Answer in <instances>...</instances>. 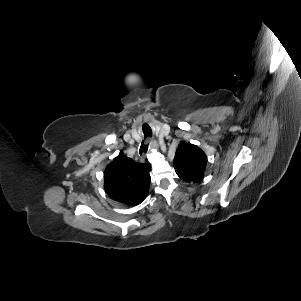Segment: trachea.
Here are the masks:
<instances>
[{"label":"trachea","mask_w":301,"mask_h":301,"mask_svg":"<svg viewBox=\"0 0 301 301\" xmlns=\"http://www.w3.org/2000/svg\"><path fill=\"white\" fill-rule=\"evenodd\" d=\"M145 134V137H151L152 136V131L149 130L148 133H144ZM148 150V145H145L144 142H142L141 146H140V155H142L143 153H146Z\"/></svg>","instance_id":"1"}]
</instances>
